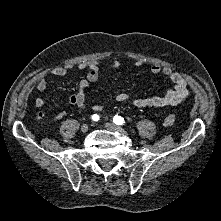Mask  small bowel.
I'll use <instances>...</instances> for the list:
<instances>
[{
    "label": "small bowel",
    "mask_w": 221,
    "mask_h": 221,
    "mask_svg": "<svg viewBox=\"0 0 221 221\" xmlns=\"http://www.w3.org/2000/svg\"><path fill=\"white\" fill-rule=\"evenodd\" d=\"M118 61H112L110 68L115 69L119 67ZM137 66H141L142 62L137 61ZM99 62L97 60H85L76 64H68L66 66L54 67L51 70V74L57 77L66 76L72 70L88 69L86 76L79 82L78 90L76 92L69 93L67 98L72 104H76L79 107H84L86 103L85 90L99 79ZM150 72L154 75H164L171 83L172 87L163 96L152 97H131L126 92H120L116 96V100L124 103H131L136 108H152V109H165L168 107L176 106L182 103L190 93L188 81L179 72L173 71L170 68H164L159 64H152L150 66ZM36 88L39 92H44L48 88L47 81L42 77L38 80ZM35 106L37 108H43L45 106V100L42 97L35 99ZM105 108L104 104H97L93 107L95 111H102ZM65 113H59L58 119L63 118ZM44 114L40 112L38 118L42 119Z\"/></svg>",
    "instance_id": "c3829d8e"
}]
</instances>
